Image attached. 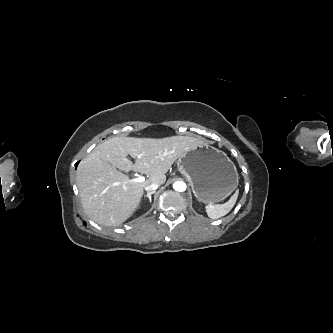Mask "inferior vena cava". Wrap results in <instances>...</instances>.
Here are the masks:
<instances>
[{
    "label": "inferior vena cava",
    "mask_w": 333,
    "mask_h": 333,
    "mask_svg": "<svg viewBox=\"0 0 333 333\" xmlns=\"http://www.w3.org/2000/svg\"><path fill=\"white\" fill-rule=\"evenodd\" d=\"M158 187H159L158 183H151L150 185H148V186L145 187V190L147 192L155 191L156 189H158Z\"/></svg>",
    "instance_id": "obj_1"
}]
</instances>
